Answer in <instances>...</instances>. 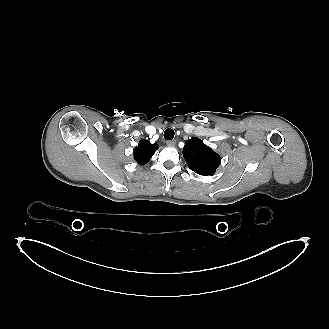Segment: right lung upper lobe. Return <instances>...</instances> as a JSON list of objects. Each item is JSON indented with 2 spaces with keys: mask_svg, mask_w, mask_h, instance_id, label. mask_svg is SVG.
I'll list each match as a JSON object with an SVG mask.
<instances>
[{
  "mask_svg": "<svg viewBox=\"0 0 329 329\" xmlns=\"http://www.w3.org/2000/svg\"><path fill=\"white\" fill-rule=\"evenodd\" d=\"M157 149L158 145L156 143L151 144L148 140L142 139L133 151L134 158L137 163L144 165L151 159Z\"/></svg>",
  "mask_w": 329,
  "mask_h": 329,
  "instance_id": "right-lung-upper-lobe-1",
  "label": "right lung upper lobe"
}]
</instances>
